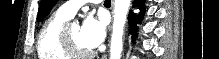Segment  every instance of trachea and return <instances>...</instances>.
<instances>
[{
    "mask_svg": "<svg viewBox=\"0 0 219 59\" xmlns=\"http://www.w3.org/2000/svg\"><path fill=\"white\" fill-rule=\"evenodd\" d=\"M104 3H111V1L110 0H105V2Z\"/></svg>",
    "mask_w": 219,
    "mask_h": 59,
    "instance_id": "obj_1",
    "label": "trachea"
}]
</instances>
